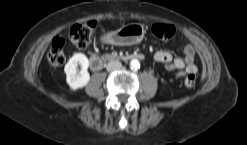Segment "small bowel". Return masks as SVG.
Masks as SVG:
<instances>
[{
    "label": "small bowel",
    "mask_w": 247,
    "mask_h": 145,
    "mask_svg": "<svg viewBox=\"0 0 247 145\" xmlns=\"http://www.w3.org/2000/svg\"><path fill=\"white\" fill-rule=\"evenodd\" d=\"M153 58L156 62L165 64L168 70H185L186 73L193 74L198 71L195 48L191 44L184 47L182 57L173 56L167 51L159 50L154 53ZM180 74L183 75L184 72H180Z\"/></svg>",
    "instance_id": "c3829d8e"
}]
</instances>
